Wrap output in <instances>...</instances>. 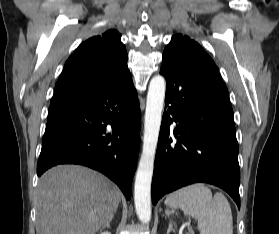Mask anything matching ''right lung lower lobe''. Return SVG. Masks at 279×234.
<instances>
[{"label": "right lung lower lobe", "instance_id": "98d812e1", "mask_svg": "<svg viewBox=\"0 0 279 234\" xmlns=\"http://www.w3.org/2000/svg\"><path fill=\"white\" fill-rule=\"evenodd\" d=\"M140 118L131 74L96 93L51 105L38 176L58 164H81L104 173L130 199Z\"/></svg>", "mask_w": 279, "mask_h": 234}]
</instances>
